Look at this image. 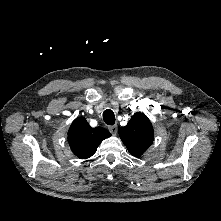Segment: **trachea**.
<instances>
[{
    "instance_id": "obj_1",
    "label": "trachea",
    "mask_w": 221,
    "mask_h": 221,
    "mask_svg": "<svg viewBox=\"0 0 221 221\" xmlns=\"http://www.w3.org/2000/svg\"><path fill=\"white\" fill-rule=\"evenodd\" d=\"M103 120L106 124L112 125L115 123V115L111 109H106L103 112Z\"/></svg>"
}]
</instances>
